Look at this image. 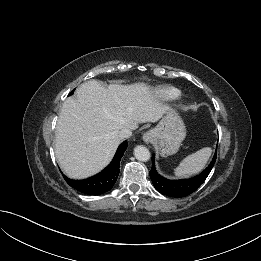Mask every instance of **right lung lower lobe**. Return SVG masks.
<instances>
[{"instance_id":"right-lung-lower-lobe-1","label":"right lung lower lobe","mask_w":261,"mask_h":261,"mask_svg":"<svg viewBox=\"0 0 261 261\" xmlns=\"http://www.w3.org/2000/svg\"><path fill=\"white\" fill-rule=\"evenodd\" d=\"M127 145V141H124L118 147L112 162L97 175L84 180H72L63 175L64 179L71 187L87 195H100L111 190L118 178L120 160Z\"/></svg>"}]
</instances>
